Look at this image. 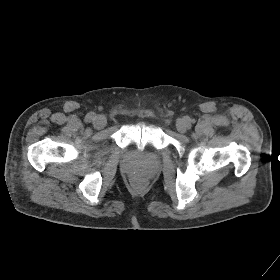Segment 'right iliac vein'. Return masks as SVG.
<instances>
[{"label": "right iliac vein", "instance_id": "obj_1", "mask_svg": "<svg viewBox=\"0 0 280 280\" xmlns=\"http://www.w3.org/2000/svg\"><path fill=\"white\" fill-rule=\"evenodd\" d=\"M106 123V118L104 116L99 115L96 116V118L94 119L93 125L97 129H102L105 127Z\"/></svg>", "mask_w": 280, "mask_h": 280}]
</instances>
